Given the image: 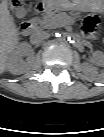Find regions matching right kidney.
<instances>
[{
	"label": "right kidney",
	"instance_id": "right-kidney-1",
	"mask_svg": "<svg viewBox=\"0 0 104 137\" xmlns=\"http://www.w3.org/2000/svg\"><path fill=\"white\" fill-rule=\"evenodd\" d=\"M33 51L27 43H20L16 49L8 55L6 60V69L12 74L20 75L24 72V68L19 58L21 56H32Z\"/></svg>",
	"mask_w": 104,
	"mask_h": 137
}]
</instances>
